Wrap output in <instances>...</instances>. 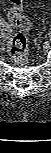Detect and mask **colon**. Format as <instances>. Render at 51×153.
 <instances>
[{"instance_id":"5ec220e1","label":"colon","mask_w":51,"mask_h":153,"mask_svg":"<svg viewBox=\"0 0 51 153\" xmlns=\"http://www.w3.org/2000/svg\"><path fill=\"white\" fill-rule=\"evenodd\" d=\"M11 7L8 12L9 24L21 31H27L31 23L22 13V0H10ZM8 49L14 60L19 64H25L28 59V43L22 33L12 34Z\"/></svg>"}]
</instances>
